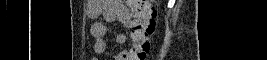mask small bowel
I'll return each mask as SVG.
<instances>
[{
    "instance_id": "small-bowel-1",
    "label": "small bowel",
    "mask_w": 267,
    "mask_h": 60,
    "mask_svg": "<svg viewBox=\"0 0 267 60\" xmlns=\"http://www.w3.org/2000/svg\"><path fill=\"white\" fill-rule=\"evenodd\" d=\"M88 17L94 19L90 27V33L94 39V51L98 55L105 54L108 51L106 43L107 27L105 23L118 20L124 26L133 29V21L131 13L122 0H90L87 8ZM102 17V21L97 20ZM136 34L134 30L131 33L132 42H134ZM126 35L121 33L116 36L118 44L126 42ZM98 58L94 57L93 60ZM116 60H132V48L120 51L116 55Z\"/></svg>"
}]
</instances>
